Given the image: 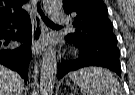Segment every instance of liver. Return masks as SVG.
<instances>
[{
	"label": "liver",
	"mask_w": 135,
	"mask_h": 95,
	"mask_svg": "<svg viewBox=\"0 0 135 95\" xmlns=\"http://www.w3.org/2000/svg\"><path fill=\"white\" fill-rule=\"evenodd\" d=\"M24 81L18 73L0 65V95H22Z\"/></svg>",
	"instance_id": "liver-1"
}]
</instances>
